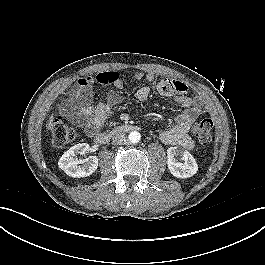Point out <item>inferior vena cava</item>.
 <instances>
[{"mask_svg": "<svg viewBox=\"0 0 265 265\" xmlns=\"http://www.w3.org/2000/svg\"><path fill=\"white\" fill-rule=\"evenodd\" d=\"M127 136L125 133H118L112 138L113 145H123L127 143Z\"/></svg>", "mask_w": 265, "mask_h": 265, "instance_id": "1", "label": "inferior vena cava"}]
</instances>
